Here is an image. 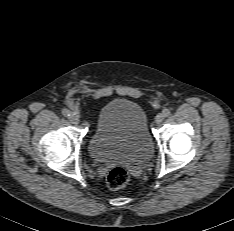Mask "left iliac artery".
<instances>
[{
  "label": "left iliac artery",
  "mask_w": 234,
  "mask_h": 231,
  "mask_svg": "<svg viewBox=\"0 0 234 231\" xmlns=\"http://www.w3.org/2000/svg\"><path fill=\"white\" fill-rule=\"evenodd\" d=\"M164 117H168L170 115V110L168 108H165L163 111H162Z\"/></svg>",
  "instance_id": "left-iliac-artery-1"
}]
</instances>
